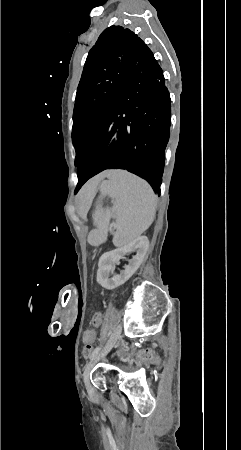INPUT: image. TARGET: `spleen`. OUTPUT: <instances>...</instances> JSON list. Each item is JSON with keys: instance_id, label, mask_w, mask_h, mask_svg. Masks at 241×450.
Masks as SVG:
<instances>
[{"instance_id": "3e777b00", "label": "spleen", "mask_w": 241, "mask_h": 450, "mask_svg": "<svg viewBox=\"0 0 241 450\" xmlns=\"http://www.w3.org/2000/svg\"><path fill=\"white\" fill-rule=\"evenodd\" d=\"M107 178L108 180L102 182L100 192L102 196H109L116 200L112 212L117 220L118 228L113 244L120 248L133 242L151 226L155 218L156 196L145 180L126 170H111ZM101 208L107 211L110 205L104 202ZM96 218L98 225H101L102 218L104 219L105 228L113 224V219L108 212L103 215L98 213ZM89 236L87 241L92 245L98 242L97 237L101 243H105L108 235L101 228H92Z\"/></svg>"}]
</instances>
